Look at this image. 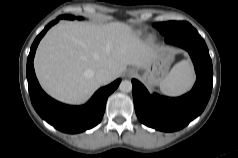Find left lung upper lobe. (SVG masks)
Listing matches in <instances>:
<instances>
[{
    "label": "left lung upper lobe",
    "instance_id": "obj_1",
    "mask_svg": "<svg viewBox=\"0 0 238 158\" xmlns=\"http://www.w3.org/2000/svg\"><path fill=\"white\" fill-rule=\"evenodd\" d=\"M154 26L161 32L162 35L168 36L178 30L190 26V24L188 22L169 21V22L155 23Z\"/></svg>",
    "mask_w": 238,
    "mask_h": 158
}]
</instances>
